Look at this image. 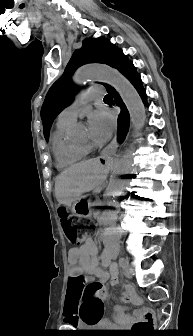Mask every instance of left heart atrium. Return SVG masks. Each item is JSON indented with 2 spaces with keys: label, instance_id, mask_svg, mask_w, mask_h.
<instances>
[{
  "label": "left heart atrium",
  "instance_id": "1",
  "mask_svg": "<svg viewBox=\"0 0 193 336\" xmlns=\"http://www.w3.org/2000/svg\"><path fill=\"white\" fill-rule=\"evenodd\" d=\"M87 124L91 139L97 143H102L112 134L115 120L109 111L99 109L89 115Z\"/></svg>",
  "mask_w": 193,
  "mask_h": 336
}]
</instances>
